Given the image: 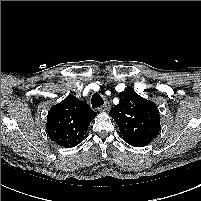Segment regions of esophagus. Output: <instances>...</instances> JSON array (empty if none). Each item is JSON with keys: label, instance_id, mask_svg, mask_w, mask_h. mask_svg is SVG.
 I'll use <instances>...</instances> for the list:
<instances>
[{"label": "esophagus", "instance_id": "34e87169", "mask_svg": "<svg viewBox=\"0 0 201 201\" xmlns=\"http://www.w3.org/2000/svg\"><path fill=\"white\" fill-rule=\"evenodd\" d=\"M110 108H111L110 102L106 101L105 104L99 108V111L107 112L110 110Z\"/></svg>", "mask_w": 201, "mask_h": 201}]
</instances>
